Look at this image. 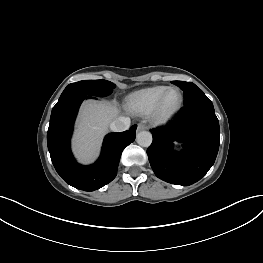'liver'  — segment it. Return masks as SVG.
I'll return each instance as SVG.
<instances>
[{"label":"liver","instance_id":"6515ba94","mask_svg":"<svg viewBox=\"0 0 263 263\" xmlns=\"http://www.w3.org/2000/svg\"><path fill=\"white\" fill-rule=\"evenodd\" d=\"M115 106L87 101L80 110L74 137V150L82 162H90L97 154L108 124L117 117Z\"/></svg>","mask_w":263,"mask_h":263}]
</instances>
